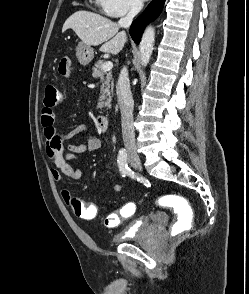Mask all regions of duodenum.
I'll list each match as a JSON object with an SVG mask.
<instances>
[{"mask_svg":"<svg viewBox=\"0 0 249 294\" xmlns=\"http://www.w3.org/2000/svg\"><path fill=\"white\" fill-rule=\"evenodd\" d=\"M94 124L98 130L105 132L109 127V119L104 115H98L94 118Z\"/></svg>","mask_w":249,"mask_h":294,"instance_id":"duodenum-1","label":"duodenum"}]
</instances>
